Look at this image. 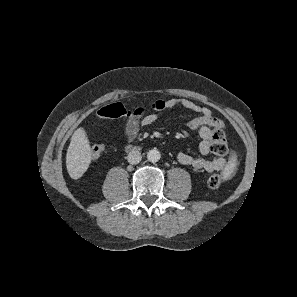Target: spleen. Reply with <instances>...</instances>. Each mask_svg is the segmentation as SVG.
<instances>
[{
	"mask_svg": "<svg viewBox=\"0 0 297 297\" xmlns=\"http://www.w3.org/2000/svg\"><path fill=\"white\" fill-rule=\"evenodd\" d=\"M235 162H236V158L232 159V160L230 161V164H231V165H234Z\"/></svg>",
	"mask_w": 297,
	"mask_h": 297,
	"instance_id": "1",
	"label": "spleen"
}]
</instances>
